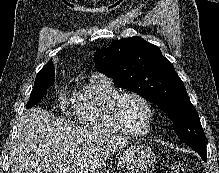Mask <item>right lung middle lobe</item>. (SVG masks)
Returning a JSON list of instances; mask_svg holds the SVG:
<instances>
[{
    "mask_svg": "<svg viewBox=\"0 0 219 173\" xmlns=\"http://www.w3.org/2000/svg\"><path fill=\"white\" fill-rule=\"evenodd\" d=\"M55 82V72L53 73H38L34 82L30 99L26 108H31L36 105L44 96L45 91Z\"/></svg>",
    "mask_w": 219,
    "mask_h": 173,
    "instance_id": "obj_1",
    "label": "right lung middle lobe"
}]
</instances>
